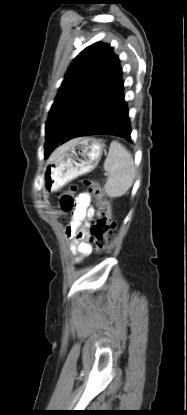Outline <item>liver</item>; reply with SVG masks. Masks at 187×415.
Segmentation results:
<instances>
[{
    "label": "liver",
    "instance_id": "liver-1",
    "mask_svg": "<svg viewBox=\"0 0 187 415\" xmlns=\"http://www.w3.org/2000/svg\"><path fill=\"white\" fill-rule=\"evenodd\" d=\"M72 144V141L60 146L59 148H57L51 155L50 157V161L55 159L56 157H58L62 152H64L66 149H68L70 147V145Z\"/></svg>",
    "mask_w": 187,
    "mask_h": 415
}]
</instances>
